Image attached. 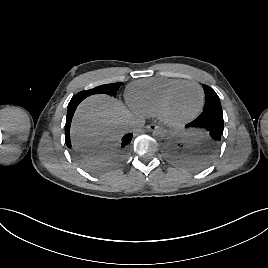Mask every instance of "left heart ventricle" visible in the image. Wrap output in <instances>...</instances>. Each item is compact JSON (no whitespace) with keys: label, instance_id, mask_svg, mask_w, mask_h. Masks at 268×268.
<instances>
[{"label":"left heart ventricle","instance_id":"left-heart-ventricle-1","mask_svg":"<svg viewBox=\"0 0 268 268\" xmlns=\"http://www.w3.org/2000/svg\"><path fill=\"white\" fill-rule=\"evenodd\" d=\"M200 92L195 86L180 89L168 106V115L172 118H182L191 114L198 106Z\"/></svg>","mask_w":268,"mask_h":268}]
</instances>
